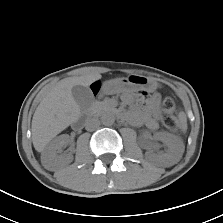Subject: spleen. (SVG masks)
I'll return each instance as SVG.
<instances>
[{
    "label": "spleen",
    "instance_id": "spleen-1",
    "mask_svg": "<svg viewBox=\"0 0 223 223\" xmlns=\"http://www.w3.org/2000/svg\"><path fill=\"white\" fill-rule=\"evenodd\" d=\"M180 120H181L183 129H185L186 128V117L183 113H180Z\"/></svg>",
    "mask_w": 223,
    "mask_h": 223
}]
</instances>
